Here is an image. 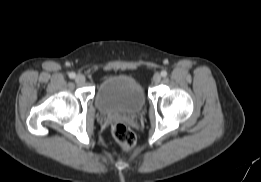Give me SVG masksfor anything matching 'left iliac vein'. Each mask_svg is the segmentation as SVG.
<instances>
[{
    "label": "left iliac vein",
    "mask_w": 261,
    "mask_h": 182,
    "mask_svg": "<svg viewBox=\"0 0 261 182\" xmlns=\"http://www.w3.org/2000/svg\"><path fill=\"white\" fill-rule=\"evenodd\" d=\"M160 81H161V75H160L159 73H155V74L153 75V82H154L155 84H158V83H160Z\"/></svg>",
    "instance_id": "obj_1"
}]
</instances>
